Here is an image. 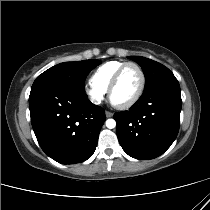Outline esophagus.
<instances>
[{
  "instance_id": "1",
  "label": "esophagus",
  "mask_w": 210,
  "mask_h": 210,
  "mask_svg": "<svg viewBox=\"0 0 210 210\" xmlns=\"http://www.w3.org/2000/svg\"><path fill=\"white\" fill-rule=\"evenodd\" d=\"M105 115L107 118H110L113 116V113L112 112H109V111H105Z\"/></svg>"
}]
</instances>
